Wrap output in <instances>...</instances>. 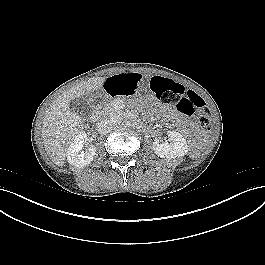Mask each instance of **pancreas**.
<instances>
[{
	"label": "pancreas",
	"instance_id": "pancreas-1",
	"mask_svg": "<svg viewBox=\"0 0 265 265\" xmlns=\"http://www.w3.org/2000/svg\"><path fill=\"white\" fill-rule=\"evenodd\" d=\"M117 110L114 109V102L110 101L104 104V106H101L100 110L98 111V114L102 117H108L112 116Z\"/></svg>",
	"mask_w": 265,
	"mask_h": 265
}]
</instances>
